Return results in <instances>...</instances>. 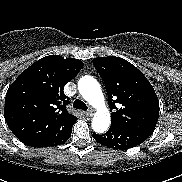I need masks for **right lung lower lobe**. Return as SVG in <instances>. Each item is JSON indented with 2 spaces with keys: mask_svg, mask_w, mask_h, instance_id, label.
I'll list each match as a JSON object with an SVG mask.
<instances>
[{
  "mask_svg": "<svg viewBox=\"0 0 182 182\" xmlns=\"http://www.w3.org/2000/svg\"><path fill=\"white\" fill-rule=\"evenodd\" d=\"M71 132H72V127L67 129L66 131H64L62 133H59V134L53 136V137L46 138V139L36 141V142H32V143H29L27 145H29L31 147H47V146L60 145L69 139Z\"/></svg>",
  "mask_w": 182,
  "mask_h": 182,
  "instance_id": "obj_1",
  "label": "right lung lower lobe"
}]
</instances>
